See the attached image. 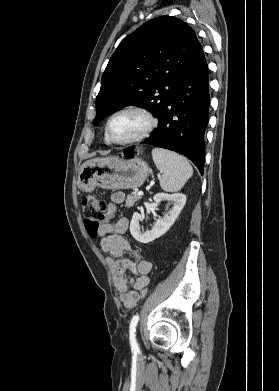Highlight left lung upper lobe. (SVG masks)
I'll return each mask as SVG.
<instances>
[{
	"label": "left lung upper lobe",
	"instance_id": "obj_1",
	"mask_svg": "<svg viewBox=\"0 0 279 391\" xmlns=\"http://www.w3.org/2000/svg\"><path fill=\"white\" fill-rule=\"evenodd\" d=\"M202 52L195 32L182 20L161 16L147 21L125 37L111 56L96 98L93 124L131 103L159 119Z\"/></svg>",
	"mask_w": 279,
	"mask_h": 391
}]
</instances>
